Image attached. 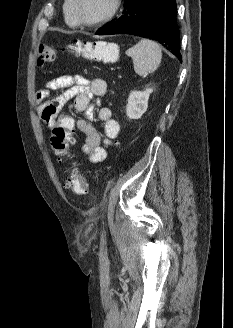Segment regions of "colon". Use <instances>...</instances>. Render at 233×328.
Listing matches in <instances>:
<instances>
[{
	"label": "colon",
	"instance_id": "1",
	"mask_svg": "<svg viewBox=\"0 0 233 328\" xmlns=\"http://www.w3.org/2000/svg\"><path fill=\"white\" fill-rule=\"evenodd\" d=\"M66 51L82 56L91 60L113 61L116 58V49L106 43H82L77 42L66 47ZM56 49L52 46L41 45L39 48L37 64L44 66L51 63L56 57ZM75 123L72 117L66 114H60L55 120L51 132V146L61 163H67L69 160L68 146L73 138ZM69 188L78 193L86 194L90 192V186L79 167H70Z\"/></svg>",
	"mask_w": 233,
	"mask_h": 328
}]
</instances>
